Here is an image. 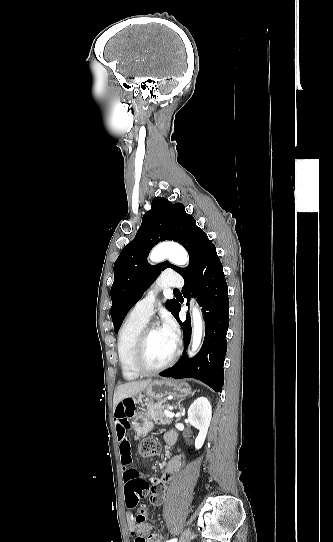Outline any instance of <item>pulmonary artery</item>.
Returning <instances> with one entry per match:
<instances>
[{"instance_id":"pulmonary-artery-1","label":"pulmonary artery","mask_w":333,"mask_h":542,"mask_svg":"<svg viewBox=\"0 0 333 542\" xmlns=\"http://www.w3.org/2000/svg\"><path fill=\"white\" fill-rule=\"evenodd\" d=\"M182 279V275L175 273V269L172 266H167L164 269L162 281L166 283L168 288H181L183 285ZM156 287L159 289L161 286L158 284ZM146 292L148 294L138 300L130 310V317L148 320L154 313L158 291H155V287L153 285H148L146 287Z\"/></svg>"}]
</instances>
